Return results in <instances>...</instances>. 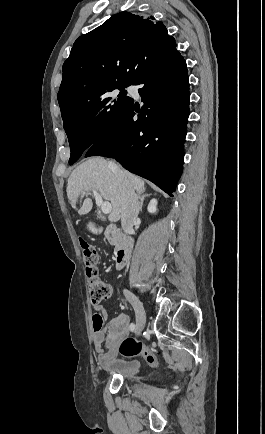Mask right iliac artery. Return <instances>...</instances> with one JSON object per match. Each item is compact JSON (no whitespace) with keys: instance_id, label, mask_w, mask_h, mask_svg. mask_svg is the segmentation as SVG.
I'll use <instances>...</instances> for the list:
<instances>
[{"instance_id":"right-iliac-artery-1","label":"right iliac artery","mask_w":265,"mask_h":434,"mask_svg":"<svg viewBox=\"0 0 265 434\" xmlns=\"http://www.w3.org/2000/svg\"><path fill=\"white\" fill-rule=\"evenodd\" d=\"M134 329H135V324H134V323H131V324H130V330H131V331H134Z\"/></svg>"}]
</instances>
